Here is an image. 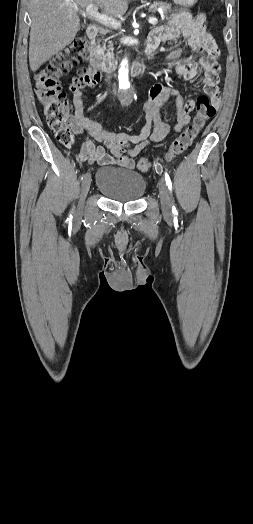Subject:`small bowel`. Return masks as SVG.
Here are the masks:
<instances>
[{"label": "small bowel", "instance_id": "1", "mask_svg": "<svg viewBox=\"0 0 253 524\" xmlns=\"http://www.w3.org/2000/svg\"><path fill=\"white\" fill-rule=\"evenodd\" d=\"M180 36L188 40L192 50L201 52L203 55L197 64L178 62L175 71L187 81L197 78L201 73L204 92L217 106L221 97L220 70L216 62L219 52L211 34L206 29L204 14H198L195 17L180 14L173 19L171 24L154 28L149 35L148 56L155 57L161 45ZM182 53V49H176L168 54L167 59L176 60ZM170 96L174 98L176 107L177 123L174 130L181 131L189 123V113L194 108V100L185 101L176 89L156 83L151 86L148 100L144 104L145 125L138 134L134 135L101 129L86 116L83 95L73 96L75 108L73 130L76 133H87L109 150L107 153L103 146H97L93 141L87 140L82 144L77 158L83 162L102 166L115 165L130 170L134 169V158L140 151L151 143L162 141L170 132V125L163 118V108Z\"/></svg>", "mask_w": 253, "mask_h": 524}]
</instances>
